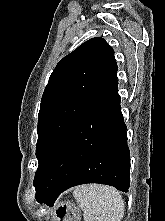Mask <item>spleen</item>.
Masks as SVG:
<instances>
[{
    "label": "spleen",
    "mask_w": 165,
    "mask_h": 221,
    "mask_svg": "<svg viewBox=\"0 0 165 221\" xmlns=\"http://www.w3.org/2000/svg\"><path fill=\"white\" fill-rule=\"evenodd\" d=\"M83 210L84 221H121L124 202L115 188L103 185H82L73 192Z\"/></svg>",
    "instance_id": "1"
}]
</instances>
